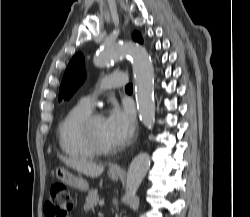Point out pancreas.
Returning a JSON list of instances; mask_svg holds the SVG:
<instances>
[{
	"label": "pancreas",
	"mask_w": 250,
	"mask_h": 217,
	"mask_svg": "<svg viewBox=\"0 0 250 217\" xmlns=\"http://www.w3.org/2000/svg\"><path fill=\"white\" fill-rule=\"evenodd\" d=\"M98 201H99L98 191L96 189L89 191L84 204V210L85 211L93 210L94 207L97 205Z\"/></svg>",
	"instance_id": "obj_1"
}]
</instances>
